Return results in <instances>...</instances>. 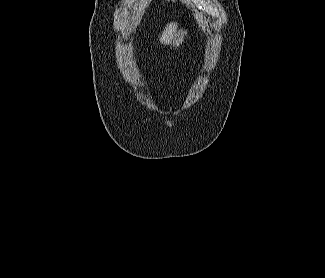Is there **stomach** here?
I'll return each mask as SVG.
<instances>
[{"label":"stomach","mask_w":325,"mask_h":278,"mask_svg":"<svg viewBox=\"0 0 325 278\" xmlns=\"http://www.w3.org/2000/svg\"><path fill=\"white\" fill-rule=\"evenodd\" d=\"M187 35V31L183 28H180L178 31L175 32L174 36L170 41L171 47H178L180 44L183 43L185 36Z\"/></svg>","instance_id":"obj_1"}]
</instances>
